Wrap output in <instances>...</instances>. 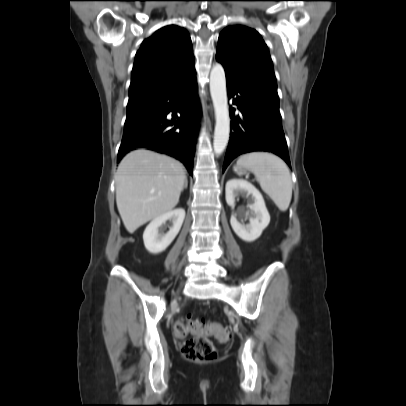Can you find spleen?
I'll use <instances>...</instances> for the list:
<instances>
[{
  "mask_svg": "<svg viewBox=\"0 0 406 406\" xmlns=\"http://www.w3.org/2000/svg\"><path fill=\"white\" fill-rule=\"evenodd\" d=\"M237 164L254 173L262 190L281 211H286L292 198V180L289 168L279 157L266 152L242 155Z\"/></svg>",
  "mask_w": 406,
  "mask_h": 406,
  "instance_id": "spleen-1",
  "label": "spleen"
}]
</instances>
